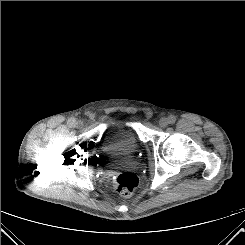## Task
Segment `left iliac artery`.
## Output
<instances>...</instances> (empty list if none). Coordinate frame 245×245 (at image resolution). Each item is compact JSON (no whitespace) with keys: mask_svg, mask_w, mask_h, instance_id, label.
I'll use <instances>...</instances> for the list:
<instances>
[{"mask_svg":"<svg viewBox=\"0 0 245 245\" xmlns=\"http://www.w3.org/2000/svg\"><path fill=\"white\" fill-rule=\"evenodd\" d=\"M169 124H174L175 123V121H176V117L175 116H173V115H171V116H169Z\"/></svg>","mask_w":245,"mask_h":245,"instance_id":"obj_1","label":"left iliac artery"}]
</instances>
